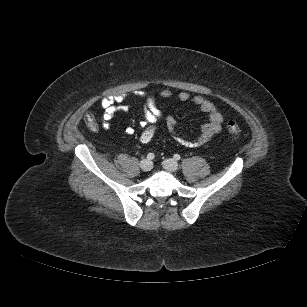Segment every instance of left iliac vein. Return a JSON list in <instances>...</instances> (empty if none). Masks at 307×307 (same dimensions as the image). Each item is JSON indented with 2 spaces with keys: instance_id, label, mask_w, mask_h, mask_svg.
I'll return each instance as SVG.
<instances>
[{
  "instance_id": "4c4485c4",
  "label": "left iliac vein",
  "mask_w": 307,
  "mask_h": 307,
  "mask_svg": "<svg viewBox=\"0 0 307 307\" xmlns=\"http://www.w3.org/2000/svg\"><path fill=\"white\" fill-rule=\"evenodd\" d=\"M163 167L167 171L175 172L178 169L179 165L174 159H165L163 161Z\"/></svg>"
}]
</instances>
